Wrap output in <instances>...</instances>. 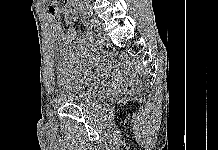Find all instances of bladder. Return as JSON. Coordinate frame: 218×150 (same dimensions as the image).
Listing matches in <instances>:
<instances>
[{
	"instance_id": "31cf9c89",
	"label": "bladder",
	"mask_w": 218,
	"mask_h": 150,
	"mask_svg": "<svg viewBox=\"0 0 218 150\" xmlns=\"http://www.w3.org/2000/svg\"><path fill=\"white\" fill-rule=\"evenodd\" d=\"M60 58L56 75L58 97L67 104L89 107L95 92L91 86V74L83 68L77 53L61 55Z\"/></svg>"
}]
</instances>
